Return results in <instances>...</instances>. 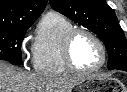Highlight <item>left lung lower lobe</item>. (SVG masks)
Wrapping results in <instances>:
<instances>
[{"label":"left lung lower lobe","mask_w":127,"mask_h":92,"mask_svg":"<svg viewBox=\"0 0 127 92\" xmlns=\"http://www.w3.org/2000/svg\"><path fill=\"white\" fill-rule=\"evenodd\" d=\"M119 70L127 71V67H122V68H120Z\"/></svg>","instance_id":"left-lung-lower-lobe-1"}]
</instances>
